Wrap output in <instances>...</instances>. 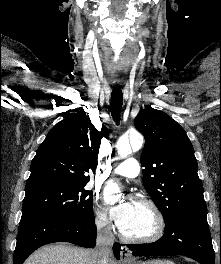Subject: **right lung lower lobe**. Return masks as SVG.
<instances>
[{"label":"right lung lower lobe","mask_w":221,"mask_h":264,"mask_svg":"<svg viewBox=\"0 0 221 264\" xmlns=\"http://www.w3.org/2000/svg\"><path fill=\"white\" fill-rule=\"evenodd\" d=\"M94 214L83 219H21L14 252V264H23L37 248L54 242H70L86 248L96 245ZM113 252L120 258V245H113Z\"/></svg>","instance_id":"right-lung-lower-lobe-1"}]
</instances>
